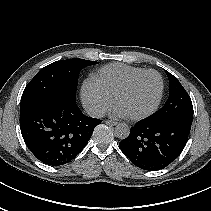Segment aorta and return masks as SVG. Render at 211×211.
<instances>
[{
  "instance_id": "1",
  "label": "aorta",
  "mask_w": 211,
  "mask_h": 211,
  "mask_svg": "<svg viewBox=\"0 0 211 211\" xmlns=\"http://www.w3.org/2000/svg\"><path fill=\"white\" fill-rule=\"evenodd\" d=\"M130 128L125 123H120L115 127L114 135L119 139H125L129 136Z\"/></svg>"
}]
</instances>
